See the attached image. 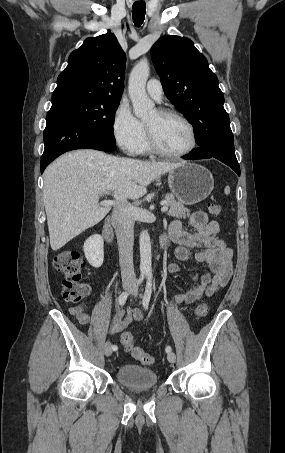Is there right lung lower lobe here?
<instances>
[{
	"label": "right lung lower lobe",
	"instance_id": "obj_1",
	"mask_svg": "<svg viewBox=\"0 0 285 453\" xmlns=\"http://www.w3.org/2000/svg\"><path fill=\"white\" fill-rule=\"evenodd\" d=\"M46 121L41 173L55 158L70 150L88 148L113 151L116 149L115 143L95 135L65 110L51 107Z\"/></svg>",
	"mask_w": 285,
	"mask_h": 453
}]
</instances>
